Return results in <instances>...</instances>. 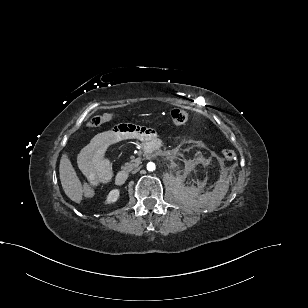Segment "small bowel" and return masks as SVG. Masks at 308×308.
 <instances>
[{"label": "small bowel", "mask_w": 308, "mask_h": 308, "mask_svg": "<svg viewBox=\"0 0 308 308\" xmlns=\"http://www.w3.org/2000/svg\"><path fill=\"white\" fill-rule=\"evenodd\" d=\"M127 139L148 142L156 140L157 134L149 127L122 123L95 135L78 157L79 168L90 183L104 184L112 179L113 171L107 151L114 144Z\"/></svg>", "instance_id": "small-bowel-1"}]
</instances>
